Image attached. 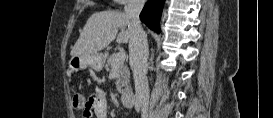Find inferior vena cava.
<instances>
[{
    "instance_id": "1",
    "label": "inferior vena cava",
    "mask_w": 273,
    "mask_h": 118,
    "mask_svg": "<svg viewBox=\"0 0 273 118\" xmlns=\"http://www.w3.org/2000/svg\"><path fill=\"white\" fill-rule=\"evenodd\" d=\"M144 6V0H129L125 12L130 17L128 30L129 64L133 72L136 102L140 105L142 115L145 117L149 105V87L147 80V60L149 55L147 36L141 26L139 14Z\"/></svg>"
}]
</instances>
